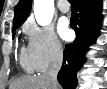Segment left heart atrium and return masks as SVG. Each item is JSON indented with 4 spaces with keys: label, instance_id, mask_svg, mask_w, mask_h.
<instances>
[{
    "label": "left heart atrium",
    "instance_id": "39dd6f15",
    "mask_svg": "<svg viewBox=\"0 0 107 89\" xmlns=\"http://www.w3.org/2000/svg\"><path fill=\"white\" fill-rule=\"evenodd\" d=\"M58 32L63 39H68L71 35V31L68 26L67 20L63 19L58 24Z\"/></svg>",
    "mask_w": 107,
    "mask_h": 89
}]
</instances>
